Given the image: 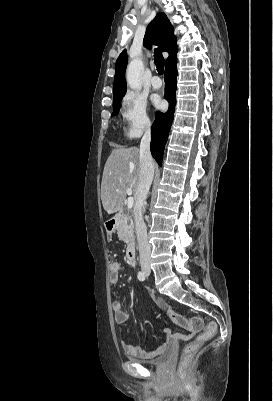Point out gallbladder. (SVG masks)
I'll use <instances>...</instances> for the list:
<instances>
[{"instance_id": "gallbladder-1", "label": "gallbladder", "mask_w": 273, "mask_h": 401, "mask_svg": "<svg viewBox=\"0 0 273 401\" xmlns=\"http://www.w3.org/2000/svg\"><path fill=\"white\" fill-rule=\"evenodd\" d=\"M107 236H108V237H111V236H112V233H111V232H108V233H107ZM110 243H111V242H110Z\"/></svg>"}]
</instances>
